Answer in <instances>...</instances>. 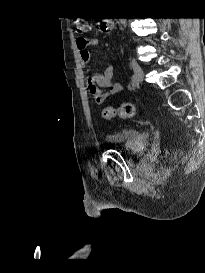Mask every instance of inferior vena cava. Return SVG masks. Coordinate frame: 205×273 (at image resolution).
Masks as SVG:
<instances>
[{
  "label": "inferior vena cava",
  "instance_id": "602c4592",
  "mask_svg": "<svg viewBox=\"0 0 205 273\" xmlns=\"http://www.w3.org/2000/svg\"><path fill=\"white\" fill-rule=\"evenodd\" d=\"M120 22H121V24H123L124 26H126V19L125 18L120 19Z\"/></svg>",
  "mask_w": 205,
  "mask_h": 273
}]
</instances>
